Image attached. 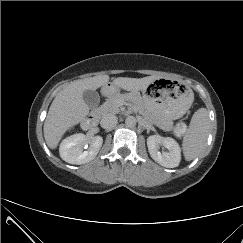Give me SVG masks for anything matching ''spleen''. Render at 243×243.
<instances>
[{"mask_svg":"<svg viewBox=\"0 0 243 243\" xmlns=\"http://www.w3.org/2000/svg\"><path fill=\"white\" fill-rule=\"evenodd\" d=\"M210 129L206 108L198 109L192 116L189 128L183 137L182 150L186 161L195 159L205 149Z\"/></svg>","mask_w":243,"mask_h":243,"instance_id":"1","label":"spleen"}]
</instances>
